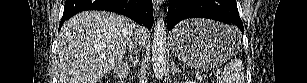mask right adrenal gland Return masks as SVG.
Instances as JSON below:
<instances>
[{"label":"right adrenal gland","instance_id":"1","mask_svg":"<svg viewBox=\"0 0 307 83\" xmlns=\"http://www.w3.org/2000/svg\"><path fill=\"white\" fill-rule=\"evenodd\" d=\"M132 64L130 66H135L136 65V62H137V58L136 57H130V60H129Z\"/></svg>","mask_w":307,"mask_h":83}]
</instances>
